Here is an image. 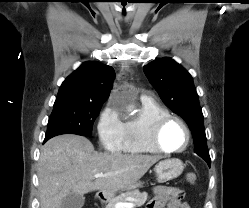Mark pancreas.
<instances>
[{
  "instance_id": "pancreas-1",
  "label": "pancreas",
  "mask_w": 249,
  "mask_h": 208,
  "mask_svg": "<svg viewBox=\"0 0 249 208\" xmlns=\"http://www.w3.org/2000/svg\"><path fill=\"white\" fill-rule=\"evenodd\" d=\"M128 198L132 199L130 202L133 203L134 206L141 207L147 201L148 194L146 192L141 193L139 190L127 191L123 195L109 199L105 208H115L116 203H126Z\"/></svg>"
}]
</instances>
